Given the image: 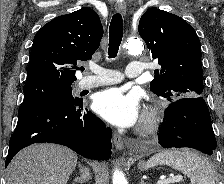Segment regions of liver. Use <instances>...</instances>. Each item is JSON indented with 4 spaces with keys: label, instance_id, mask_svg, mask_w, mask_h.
I'll return each instance as SVG.
<instances>
[{
    "label": "liver",
    "instance_id": "liver-1",
    "mask_svg": "<svg viewBox=\"0 0 224 184\" xmlns=\"http://www.w3.org/2000/svg\"><path fill=\"white\" fill-rule=\"evenodd\" d=\"M70 149L49 143L21 150L6 170V184H67L77 164Z\"/></svg>",
    "mask_w": 224,
    "mask_h": 184
}]
</instances>
